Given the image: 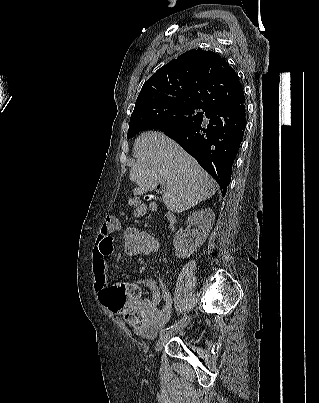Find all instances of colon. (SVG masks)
<instances>
[{"mask_svg":"<svg viewBox=\"0 0 319 403\" xmlns=\"http://www.w3.org/2000/svg\"><path fill=\"white\" fill-rule=\"evenodd\" d=\"M135 207L139 208L141 197H136ZM150 210H157L159 203L150 201L148 203ZM157 234H150L145 226H132L124 235V242L127 243L128 258L135 260L137 254H141V258H160L161 241L157 240Z\"/></svg>","mask_w":319,"mask_h":403,"instance_id":"1","label":"colon"}]
</instances>
